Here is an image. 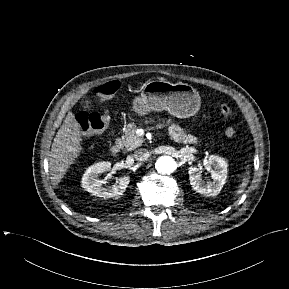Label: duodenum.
I'll list each match as a JSON object with an SVG mask.
<instances>
[{"label":"duodenum","instance_id":"1","mask_svg":"<svg viewBox=\"0 0 289 289\" xmlns=\"http://www.w3.org/2000/svg\"><path fill=\"white\" fill-rule=\"evenodd\" d=\"M121 149H122V143H121V141L117 140L111 146L110 151L113 155H117L121 151Z\"/></svg>","mask_w":289,"mask_h":289}]
</instances>
